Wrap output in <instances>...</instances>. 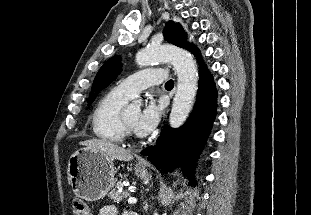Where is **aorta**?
I'll use <instances>...</instances> for the list:
<instances>
[{
  "label": "aorta",
  "mask_w": 311,
  "mask_h": 215,
  "mask_svg": "<svg viewBox=\"0 0 311 215\" xmlns=\"http://www.w3.org/2000/svg\"><path fill=\"white\" fill-rule=\"evenodd\" d=\"M170 62L178 77L177 91L169 117L170 126L180 127L187 119L195 100L198 72L193 56L186 50L172 45H151L136 54V63L140 67L153 62ZM139 105L140 101H134Z\"/></svg>",
  "instance_id": "1"
}]
</instances>
